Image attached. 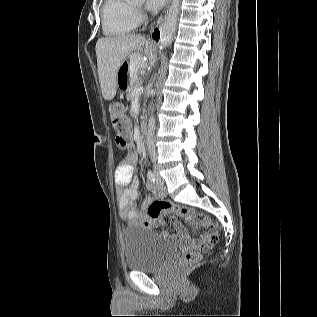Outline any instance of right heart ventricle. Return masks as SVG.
I'll list each match as a JSON object with an SVG mask.
<instances>
[{
  "instance_id": "e07e8e85",
  "label": "right heart ventricle",
  "mask_w": 317,
  "mask_h": 317,
  "mask_svg": "<svg viewBox=\"0 0 317 317\" xmlns=\"http://www.w3.org/2000/svg\"><path fill=\"white\" fill-rule=\"evenodd\" d=\"M137 11L129 0H105L102 28L106 36L116 37L132 32L138 25Z\"/></svg>"
}]
</instances>
